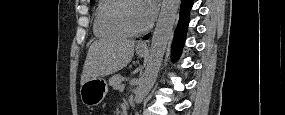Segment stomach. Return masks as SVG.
Wrapping results in <instances>:
<instances>
[{
	"label": "stomach",
	"instance_id": "obj_1",
	"mask_svg": "<svg viewBox=\"0 0 285 115\" xmlns=\"http://www.w3.org/2000/svg\"><path fill=\"white\" fill-rule=\"evenodd\" d=\"M145 53V51L137 49L139 56H144ZM107 91V82L103 78L89 79L80 88L82 103L87 107L97 106L103 101Z\"/></svg>",
	"mask_w": 285,
	"mask_h": 115
}]
</instances>
